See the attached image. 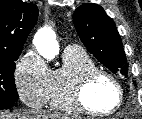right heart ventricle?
Returning <instances> with one entry per match:
<instances>
[{
	"label": "right heart ventricle",
	"instance_id": "1",
	"mask_svg": "<svg viewBox=\"0 0 142 119\" xmlns=\"http://www.w3.org/2000/svg\"><path fill=\"white\" fill-rule=\"evenodd\" d=\"M92 58L81 48L69 47L63 52V62L60 68L50 72L47 94L48 104L57 110L74 113L67 98L68 84L84 71L95 69Z\"/></svg>",
	"mask_w": 142,
	"mask_h": 119
}]
</instances>
